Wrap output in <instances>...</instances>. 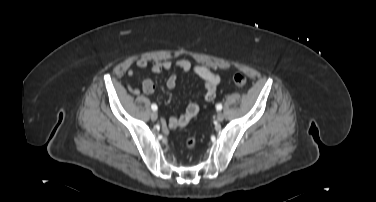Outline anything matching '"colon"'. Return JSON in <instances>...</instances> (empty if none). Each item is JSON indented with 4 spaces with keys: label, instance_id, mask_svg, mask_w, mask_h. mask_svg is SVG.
I'll list each match as a JSON object with an SVG mask.
<instances>
[{
    "label": "colon",
    "instance_id": "colon-1",
    "mask_svg": "<svg viewBox=\"0 0 376 202\" xmlns=\"http://www.w3.org/2000/svg\"><path fill=\"white\" fill-rule=\"evenodd\" d=\"M233 82L238 88H243L247 85L246 77L241 75V74H236L233 78ZM191 112L195 113L196 110L193 108V109H191ZM194 146H195V140L193 138H189L186 141L187 149L192 150L194 148Z\"/></svg>",
    "mask_w": 376,
    "mask_h": 202
}]
</instances>
